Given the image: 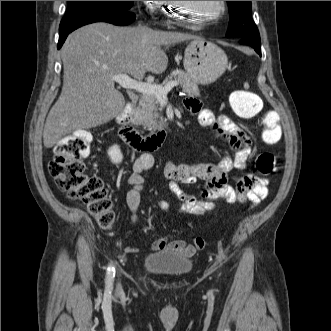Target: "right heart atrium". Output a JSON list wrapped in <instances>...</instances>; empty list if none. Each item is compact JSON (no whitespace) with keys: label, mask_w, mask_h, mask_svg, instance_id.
<instances>
[{"label":"right heart atrium","mask_w":331,"mask_h":331,"mask_svg":"<svg viewBox=\"0 0 331 331\" xmlns=\"http://www.w3.org/2000/svg\"><path fill=\"white\" fill-rule=\"evenodd\" d=\"M162 1H137L143 7L139 9V16H144V19H155V14Z\"/></svg>","instance_id":"1"}]
</instances>
